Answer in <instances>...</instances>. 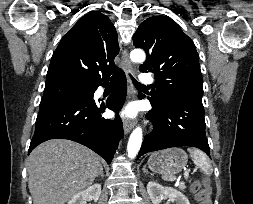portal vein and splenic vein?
Instances as JSON below:
<instances>
[{
	"label": "portal vein and splenic vein",
	"instance_id": "18ae733b",
	"mask_svg": "<svg viewBox=\"0 0 253 204\" xmlns=\"http://www.w3.org/2000/svg\"><path fill=\"white\" fill-rule=\"evenodd\" d=\"M184 176L187 178V177L189 176V172L186 171V172L184 173Z\"/></svg>",
	"mask_w": 253,
	"mask_h": 204
}]
</instances>
